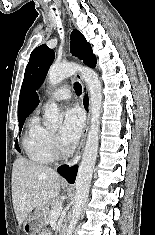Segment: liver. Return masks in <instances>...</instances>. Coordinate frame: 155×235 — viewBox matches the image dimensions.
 <instances>
[{
  "label": "liver",
  "mask_w": 155,
  "mask_h": 235,
  "mask_svg": "<svg viewBox=\"0 0 155 235\" xmlns=\"http://www.w3.org/2000/svg\"><path fill=\"white\" fill-rule=\"evenodd\" d=\"M61 190L59 175L50 167L19 157L12 169V201L21 225L34 208L57 198Z\"/></svg>",
  "instance_id": "liver-1"
}]
</instances>
